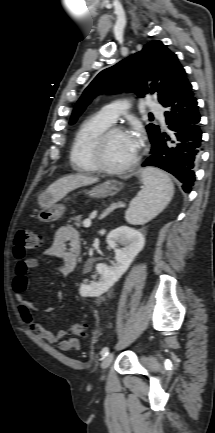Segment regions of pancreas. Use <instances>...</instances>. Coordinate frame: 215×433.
Instances as JSON below:
<instances>
[{
  "label": "pancreas",
  "instance_id": "cf45deb5",
  "mask_svg": "<svg viewBox=\"0 0 215 433\" xmlns=\"http://www.w3.org/2000/svg\"><path fill=\"white\" fill-rule=\"evenodd\" d=\"M72 220L74 221V225L77 228H80L82 226V221H81V216L80 215L73 217Z\"/></svg>",
  "mask_w": 215,
  "mask_h": 433
}]
</instances>
